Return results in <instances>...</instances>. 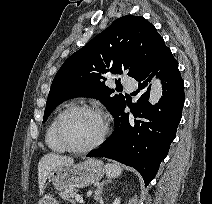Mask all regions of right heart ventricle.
Wrapping results in <instances>:
<instances>
[{
    "label": "right heart ventricle",
    "instance_id": "1",
    "mask_svg": "<svg viewBox=\"0 0 212 204\" xmlns=\"http://www.w3.org/2000/svg\"><path fill=\"white\" fill-rule=\"evenodd\" d=\"M59 114L60 113H58L57 115L53 117L49 126L47 127L46 134H45V142L50 150L54 152L62 153L65 151V149L59 144L55 136V124Z\"/></svg>",
    "mask_w": 212,
    "mask_h": 204
}]
</instances>
